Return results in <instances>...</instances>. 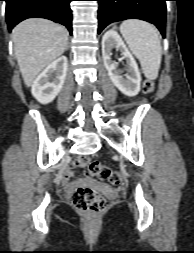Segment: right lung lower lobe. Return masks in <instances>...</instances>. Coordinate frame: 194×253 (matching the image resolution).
<instances>
[{
    "label": "right lung lower lobe",
    "instance_id": "1",
    "mask_svg": "<svg viewBox=\"0 0 194 253\" xmlns=\"http://www.w3.org/2000/svg\"><path fill=\"white\" fill-rule=\"evenodd\" d=\"M9 31L24 19L40 17L66 26L72 33V0H5Z\"/></svg>",
    "mask_w": 194,
    "mask_h": 253
}]
</instances>
